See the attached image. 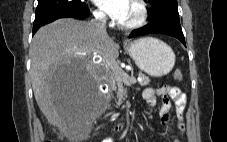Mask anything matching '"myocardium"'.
Instances as JSON below:
<instances>
[{
  "label": "myocardium",
  "mask_w": 227,
  "mask_h": 142,
  "mask_svg": "<svg viewBox=\"0 0 227 142\" xmlns=\"http://www.w3.org/2000/svg\"><path fill=\"white\" fill-rule=\"evenodd\" d=\"M138 8L137 18L130 23H119L118 26L124 30H134L144 26L149 19V8L145 0H133Z\"/></svg>",
  "instance_id": "f54148a6"
}]
</instances>
